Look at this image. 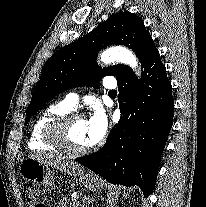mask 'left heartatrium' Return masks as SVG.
<instances>
[{
    "instance_id": "1",
    "label": "left heart atrium",
    "mask_w": 206,
    "mask_h": 207,
    "mask_svg": "<svg viewBox=\"0 0 206 207\" xmlns=\"http://www.w3.org/2000/svg\"><path fill=\"white\" fill-rule=\"evenodd\" d=\"M87 125L89 142L93 146L104 138L108 129V120L104 110L97 107L87 121Z\"/></svg>"
}]
</instances>
